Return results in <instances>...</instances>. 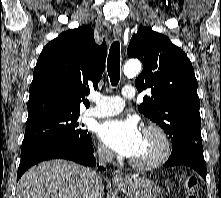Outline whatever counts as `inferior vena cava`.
<instances>
[{
	"label": "inferior vena cava",
	"instance_id": "602c4592",
	"mask_svg": "<svg viewBox=\"0 0 221 198\" xmlns=\"http://www.w3.org/2000/svg\"><path fill=\"white\" fill-rule=\"evenodd\" d=\"M97 154H98V161L102 165H105L107 162H110L113 159L112 151H110V149L104 146L98 147ZM88 178H89V183L94 187H97L98 185L102 184L101 176L95 171H91L88 175Z\"/></svg>",
	"mask_w": 221,
	"mask_h": 198
}]
</instances>
